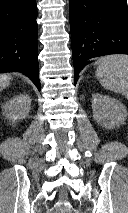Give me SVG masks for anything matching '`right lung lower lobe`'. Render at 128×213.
<instances>
[{
	"label": "right lung lower lobe",
	"mask_w": 128,
	"mask_h": 213,
	"mask_svg": "<svg viewBox=\"0 0 128 213\" xmlns=\"http://www.w3.org/2000/svg\"><path fill=\"white\" fill-rule=\"evenodd\" d=\"M36 0H0V70L27 75L40 90Z\"/></svg>",
	"instance_id": "1"
}]
</instances>
